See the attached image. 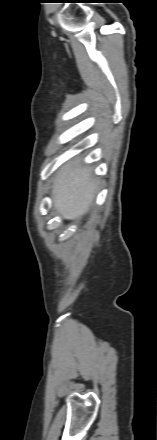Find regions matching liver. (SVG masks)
Here are the masks:
<instances>
[{
    "label": "liver",
    "mask_w": 157,
    "mask_h": 440,
    "mask_svg": "<svg viewBox=\"0 0 157 440\" xmlns=\"http://www.w3.org/2000/svg\"><path fill=\"white\" fill-rule=\"evenodd\" d=\"M98 181L91 169L69 162L58 171L52 189L53 205L64 219L76 220L92 205Z\"/></svg>",
    "instance_id": "liver-1"
}]
</instances>
